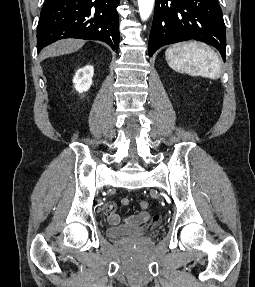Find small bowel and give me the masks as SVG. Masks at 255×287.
Returning <instances> with one entry per match:
<instances>
[{"instance_id":"c3829d8e","label":"small bowel","mask_w":255,"mask_h":287,"mask_svg":"<svg viewBox=\"0 0 255 287\" xmlns=\"http://www.w3.org/2000/svg\"><path fill=\"white\" fill-rule=\"evenodd\" d=\"M121 203L124 206H127L129 205L130 200L125 197L121 200ZM116 210L117 207L115 203H108L105 205V213L107 215L108 222L111 225H117L122 222L128 226L148 225L149 227H154L159 225L162 219L159 214L152 216L145 211H141L127 217H121Z\"/></svg>"}]
</instances>
